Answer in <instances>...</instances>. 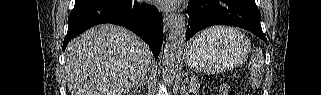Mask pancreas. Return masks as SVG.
<instances>
[{
  "label": "pancreas",
  "instance_id": "obj_1",
  "mask_svg": "<svg viewBox=\"0 0 321 95\" xmlns=\"http://www.w3.org/2000/svg\"><path fill=\"white\" fill-rule=\"evenodd\" d=\"M186 83L188 84V89L191 93L195 94L198 92V90L200 88V83L197 78L192 76L186 80Z\"/></svg>",
  "mask_w": 321,
  "mask_h": 95
}]
</instances>
